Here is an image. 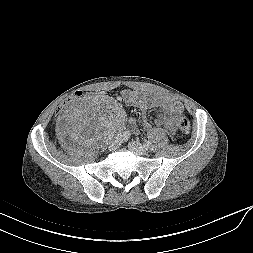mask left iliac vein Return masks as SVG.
I'll return each mask as SVG.
<instances>
[{"mask_svg": "<svg viewBox=\"0 0 253 253\" xmlns=\"http://www.w3.org/2000/svg\"><path fill=\"white\" fill-rule=\"evenodd\" d=\"M128 148L131 152L137 155H146L148 153V147L141 145L138 142L132 141L128 144Z\"/></svg>", "mask_w": 253, "mask_h": 253, "instance_id": "left-iliac-vein-1", "label": "left iliac vein"}]
</instances>
